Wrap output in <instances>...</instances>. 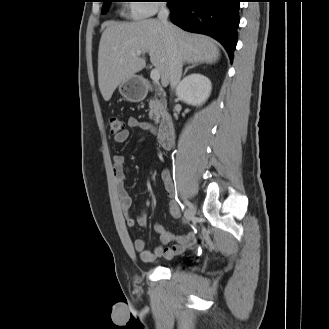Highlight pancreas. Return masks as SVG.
Wrapping results in <instances>:
<instances>
[{
	"label": "pancreas",
	"instance_id": "cf45deb5",
	"mask_svg": "<svg viewBox=\"0 0 329 329\" xmlns=\"http://www.w3.org/2000/svg\"><path fill=\"white\" fill-rule=\"evenodd\" d=\"M157 96L160 97L158 99L156 96L150 100L149 102V118L155 122V124L159 123V119L161 115L166 111V101L163 97L158 93Z\"/></svg>",
	"mask_w": 329,
	"mask_h": 329
}]
</instances>
